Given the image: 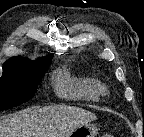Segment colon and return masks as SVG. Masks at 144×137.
Listing matches in <instances>:
<instances>
[{"label": "colon", "mask_w": 144, "mask_h": 137, "mask_svg": "<svg viewBox=\"0 0 144 137\" xmlns=\"http://www.w3.org/2000/svg\"><path fill=\"white\" fill-rule=\"evenodd\" d=\"M105 137H113V136H111V135H105Z\"/></svg>", "instance_id": "colon-1"}]
</instances>
